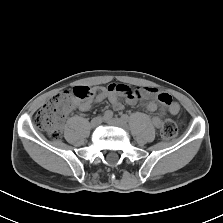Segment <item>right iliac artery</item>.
<instances>
[{"label": "right iliac artery", "instance_id": "1", "mask_svg": "<svg viewBox=\"0 0 223 223\" xmlns=\"http://www.w3.org/2000/svg\"><path fill=\"white\" fill-rule=\"evenodd\" d=\"M113 117V112L111 110H107L105 111V113L103 114V118L104 119H110Z\"/></svg>", "mask_w": 223, "mask_h": 223}]
</instances>
